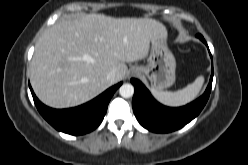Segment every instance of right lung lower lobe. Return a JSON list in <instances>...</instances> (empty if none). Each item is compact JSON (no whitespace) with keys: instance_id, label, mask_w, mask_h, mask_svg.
Segmentation results:
<instances>
[{"instance_id":"right-lung-lower-lobe-1","label":"right lung lower lobe","mask_w":248,"mask_h":165,"mask_svg":"<svg viewBox=\"0 0 248 165\" xmlns=\"http://www.w3.org/2000/svg\"><path fill=\"white\" fill-rule=\"evenodd\" d=\"M121 84L122 82L109 88L86 104L62 110L45 106L35 96L31 86L30 90L39 113L48 123L58 131L71 135H82L91 132L100 125L111 97Z\"/></svg>"}]
</instances>
